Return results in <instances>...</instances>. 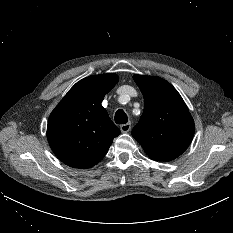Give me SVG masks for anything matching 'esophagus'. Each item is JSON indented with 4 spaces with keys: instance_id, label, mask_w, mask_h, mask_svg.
<instances>
[{
    "instance_id": "1",
    "label": "esophagus",
    "mask_w": 233,
    "mask_h": 233,
    "mask_svg": "<svg viewBox=\"0 0 233 233\" xmlns=\"http://www.w3.org/2000/svg\"><path fill=\"white\" fill-rule=\"evenodd\" d=\"M120 129H121V132H123V133L129 132L131 130V123L128 122L126 124L121 125Z\"/></svg>"
}]
</instances>
